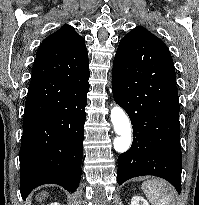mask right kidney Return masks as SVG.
Returning a JSON list of instances; mask_svg holds the SVG:
<instances>
[{
  "instance_id": "right-kidney-1",
  "label": "right kidney",
  "mask_w": 199,
  "mask_h": 205,
  "mask_svg": "<svg viewBox=\"0 0 199 205\" xmlns=\"http://www.w3.org/2000/svg\"><path fill=\"white\" fill-rule=\"evenodd\" d=\"M49 205H60V204L55 202V203H51Z\"/></svg>"
}]
</instances>
